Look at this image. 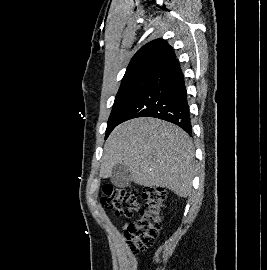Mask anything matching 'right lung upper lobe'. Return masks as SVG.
I'll return each mask as SVG.
<instances>
[{"label":"right lung upper lobe","instance_id":"1","mask_svg":"<svg viewBox=\"0 0 267 270\" xmlns=\"http://www.w3.org/2000/svg\"><path fill=\"white\" fill-rule=\"evenodd\" d=\"M176 59L173 48L163 39L153 40L141 47L131 59L122 82L138 76L156 75Z\"/></svg>","mask_w":267,"mask_h":270}]
</instances>
